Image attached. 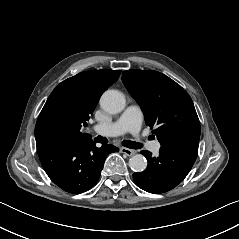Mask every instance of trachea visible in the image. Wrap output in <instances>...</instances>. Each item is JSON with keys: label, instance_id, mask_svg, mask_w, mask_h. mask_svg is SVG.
<instances>
[{"label": "trachea", "instance_id": "obj_1", "mask_svg": "<svg viewBox=\"0 0 239 239\" xmlns=\"http://www.w3.org/2000/svg\"><path fill=\"white\" fill-rule=\"evenodd\" d=\"M95 142L97 143H103L106 144L108 143V140L105 137H102L101 135H98L97 137H95ZM122 144L127 147V148H131V149H139L143 146L142 143H138V142H134V141H123Z\"/></svg>", "mask_w": 239, "mask_h": 239}]
</instances>
